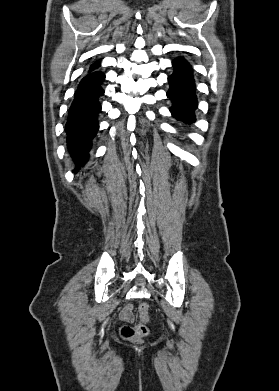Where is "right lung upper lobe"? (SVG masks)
Masks as SVG:
<instances>
[{"instance_id": "1", "label": "right lung upper lobe", "mask_w": 279, "mask_h": 391, "mask_svg": "<svg viewBox=\"0 0 279 391\" xmlns=\"http://www.w3.org/2000/svg\"><path fill=\"white\" fill-rule=\"evenodd\" d=\"M99 66H100V64H99L98 62H97V63H94V64L92 65L90 71L96 69V68L99 67Z\"/></svg>"}]
</instances>
